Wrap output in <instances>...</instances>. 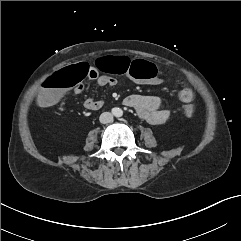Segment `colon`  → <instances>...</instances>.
Segmentation results:
<instances>
[{
  "mask_svg": "<svg viewBox=\"0 0 241 241\" xmlns=\"http://www.w3.org/2000/svg\"><path fill=\"white\" fill-rule=\"evenodd\" d=\"M99 67L110 73L129 74L139 79H151L157 73L156 66L150 63L149 60L138 58L136 61H131L125 56L103 58L99 61ZM90 72V65L85 61H80L55 73L45 82L39 93V104L42 106L54 105L64 91L77 86ZM182 97L186 98V94H183ZM183 112L185 116L192 117L195 113V108L191 104H185Z\"/></svg>",
  "mask_w": 241,
  "mask_h": 241,
  "instance_id": "obj_1",
  "label": "colon"
}]
</instances>
